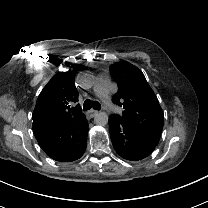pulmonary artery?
<instances>
[{
  "mask_svg": "<svg viewBox=\"0 0 208 208\" xmlns=\"http://www.w3.org/2000/svg\"><path fill=\"white\" fill-rule=\"evenodd\" d=\"M94 92L99 95L101 101L106 108H110L112 112L118 111V106L113 104V102L107 98L105 91L108 88L109 78L106 73L98 74L94 77Z\"/></svg>",
  "mask_w": 208,
  "mask_h": 208,
  "instance_id": "e3ab8cb5",
  "label": "pulmonary artery"
}]
</instances>
